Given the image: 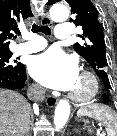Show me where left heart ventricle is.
Wrapping results in <instances>:
<instances>
[{
	"label": "left heart ventricle",
	"instance_id": "left-heart-ventricle-1",
	"mask_svg": "<svg viewBox=\"0 0 117 136\" xmlns=\"http://www.w3.org/2000/svg\"><path fill=\"white\" fill-rule=\"evenodd\" d=\"M88 89H89L88 82L85 79L78 77L72 91L83 94L86 93Z\"/></svg>",
	"mask_w": 117,
	"mask_h": 136
}]
</instances>
